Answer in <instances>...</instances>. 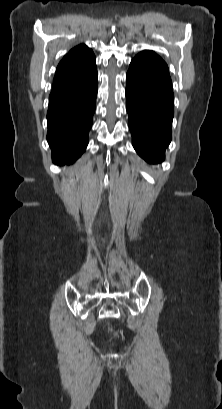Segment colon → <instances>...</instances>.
Returning a JSON list of instances; mask_svg holds the SVG:
<instances>
[{"instance_id":"1","label":"colon","mask_w":222,"mask_h":409,"mask_svg":"<svg viewBox=\"0 0 222 409\" xmlns=\"http://www.w3.org/2000/svg\"><path fill=\"white\" fill-rule=\"evenodd\" d=\"M110 331H111L113 336H116V332L113 329H111Z\"/></svg>"}]
</instances>
